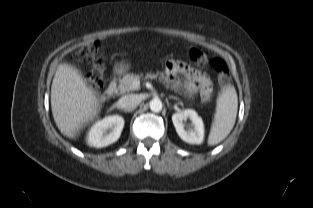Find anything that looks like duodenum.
Segmentation results:
<instances>
[{"label":"duodenum","instance_id":"1","mask_svg":"<svg viewBox=\"0 0 313 208\" xmlns=\"http://www.w3.org/2000/svg\"><path fill=\"white\" fill-rule=\"evenodd\" d=\"M115 90H116V83L111 82L105 89L104 94L106 97L110 98L114 94Z\"/></svg>","mask_w":313,"mask_h":208}]
</instances>
